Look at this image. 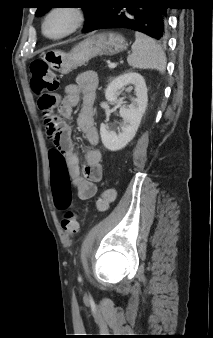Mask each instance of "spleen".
I'll return each instance as SVG.
<instances>
[{"mask_svg": "<svg viewBox=\"0 0 213 338\" xmlns=\"http://www.w3.org/2000/svg\"><path fill=\"white\" fill-rule=\"evenodd\" d=\"M132 53L128 56V64L137 69H154L164 73L166 56L161 46L147 35L136 32Z\"/></svg>", "mask_w": 213, "mask_h": 338, "instance_id": "obj_1", "label": "spleen"}]
</instances>
